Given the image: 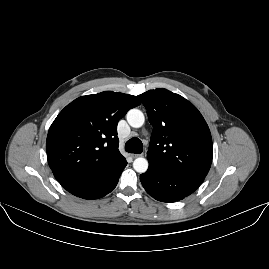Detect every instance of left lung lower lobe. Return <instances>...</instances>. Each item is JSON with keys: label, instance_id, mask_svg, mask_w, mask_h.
I'll use <instances>...</instances> for the list:
<instances>
[{"label": "left lung lower lobe", "instance_id": "left-lung-lower-lobe-1", "mask_svg": "<svg viewBox=\"0 0 269 269\" xmlns=\"http://www.w3.org/2000/svg\"><path fill=\"white\" fill-rule=\"evenodd\" d=\"M140 180L149 195L171 203L192 194L204 179L149 165L148 170L140 175Z\"/></svg>", "mask_w": 269, "mask_h": 269}]
</instances>
